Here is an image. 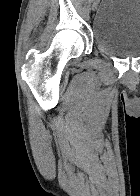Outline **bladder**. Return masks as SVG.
Segmentation results:
<instances>
[{
  "label": "bladder",
  "mask_w": 140,
  "mask_h": 196,
  "mask_svg": "<svg viewBox=\"0 0 140 196\" xmlns=\"http://www.w3.org/2000/svg\"><path fill=\"white\" fill-rule=\"evenodd\" d=\"M92 31L95 43L110 55L140 57V0H103Z\"/></svg>",
  "instance_id": "bladder-1"
}]
</instances>
